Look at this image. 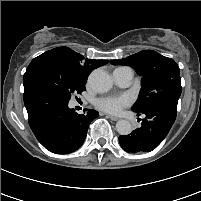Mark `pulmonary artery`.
Returning a JSON list of instances; mask_svg holds the SVG:
<instances>
[{
    "label": "pulmonary artery",
    "mask_w": 201,
    "mask_h": 201,
    "mask_svg": "<svg viewBox=\"0 0 201 201\" xmlns=\"http://www.w3.org/2000/svg\"><path fill=\"white\" fill-rule=\"evenodd\" d=\"M134 73L128 67H120L113 71L115 82L121 87H127L132 83Z\"/></svg>",
    "instance_id": "e3ab8cb5"
}]
</instances>
